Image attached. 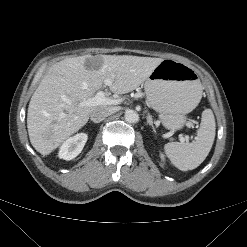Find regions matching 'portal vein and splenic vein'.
<instances>
[{
	"instance_id": "portal-vein-and-splenic-vein-1",
	"label": "portal vein and splenic vein",
	"mask_w": 247,
	"mask_h": 247,
	"mask_svg": "<svg viewBox=\"0 0 247 247\" xmlns=\"http://www.w3.org/2000/svg\"><path fill=\"white\" fill-rule=\"evenodd\" d=\"M111 81L106 80V85H110ZM121 102L120 99H109L106 97V93L102 90L98 91L96 95L92 98H89L88 100L84 101L82 104L86 106H97V105H115L119 104ZM181 142L185 141V137L180 136L179 137Z\"/></svg>"
}]
</instances>
